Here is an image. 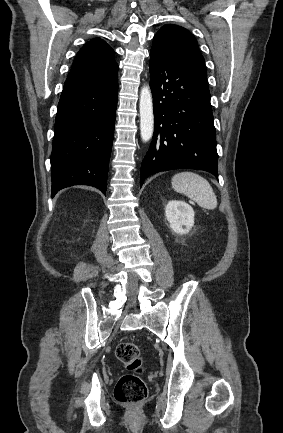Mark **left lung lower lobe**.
Here are the masks:
<instances>
[{
  "instance_id": "obj_1",
  "label": "left lung lower lobe",
  "mask_w": 283,
  "mask_h": 433,
  "mask_svg": "<svg viewBox=\"0 0 283 433\" xmlns=\"http://www.w3.org/2000/svg\"><path fill=\"white\" fill-rule=\"evenodd\" d=\"M154 137L141 165L140 184L172 169L205 170L218 177L215 127L207 77L195 67L150 52Z\"/></svg>"
}]
</instances>
